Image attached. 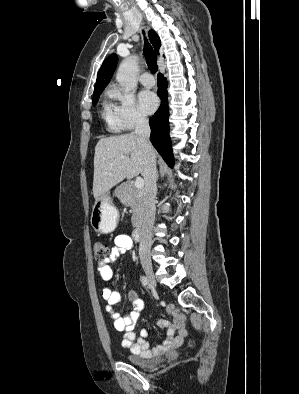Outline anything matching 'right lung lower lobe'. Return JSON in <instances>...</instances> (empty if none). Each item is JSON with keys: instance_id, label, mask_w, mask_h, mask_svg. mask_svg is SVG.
Returning <instances> with one entry per match:
<instances>
[{"instance_id": "1", "label": "right lung lower lobe", "mask_w": 299, "mask_h": 394, "mask_svg": "<svg viewBox=\"0 0 299 394\" xmlns=\"http://www.w3.org/2000/svg\"><path fill=\"white\" fill-rule=\"evenodd\" d=\"M158 79V95L162 99V104L159 110L152 116L149 121L151 128L150 141L153 146L167 162L168 165H173V154L171 148V140L169 137V109L167 103V80L161 73L157 76Z\"/></svg>"}]
</instances>
